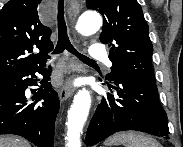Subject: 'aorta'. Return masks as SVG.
I'll use <instances>...</instances> for the list:
<instances>
[{"label":"aorta","instance_id":"762f6f07","mask_svg":"<svg viewBox=\"0 0 183 147\" xmlns=\"http://www.w3.org/2000/svg\"><path fill=\"white\" fill-rule=\"evenodd\" d=\"M102 26V18L96 12H84L77 21L76 29L82 35H91ZM91 106L89 90L83 88L74 97L68 111L66 147H81V134Z\"/></svg>","mask_w":183,"mask_h":147}]
</instances>
